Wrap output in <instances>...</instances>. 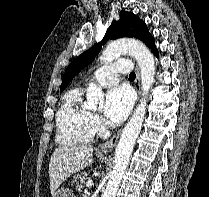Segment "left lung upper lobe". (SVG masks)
<instances>
[{"label":"left lung upper lobe","mask_w":209,"mask_h":197,"mask_svg":"<svg viewBox=\"0 0 209 197\" xmlns=\"http://www.w3.org/2000/svg\"><path fill=\"white\" fill-rule=\"evenodd\" d=\"M121 37L137 38L147 44L149 48L153 49L155 47L154 38L149 33L146 24L136 15L123 10L120 12L119 21L112 22L111 26L107 29L103 40L80 54L67 67L60 87V93L67 87L69 82L78 72L91 63L94 57L101 50V45L109 39Z\"/></svg>","instance_id":"left-lung-upper-lobe-1"}]
</instances>
